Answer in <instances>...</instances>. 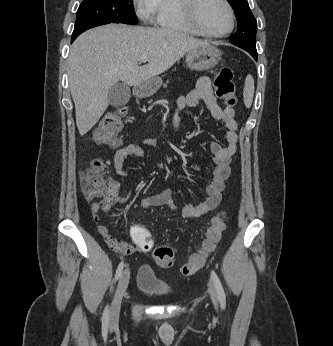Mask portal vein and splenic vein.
<instances>
[{
    "mask_svg": "<svg viewBox=\"0 0 333 346\" xmlns=\"http://www.w3.org/2000/svg\"><path fill=\"white\" fill-rule=\"evenodd\" d=\"M147 61H148V58L147 57H143L140 62L145 63Z\"/></svg>",
    "mask_w": 333,
    "mask_h": 346,
    "instance_id": "portal-vein-and-splenic-vein-1",
    "label": "portal vein and splenic vein"
}]
</instances>
